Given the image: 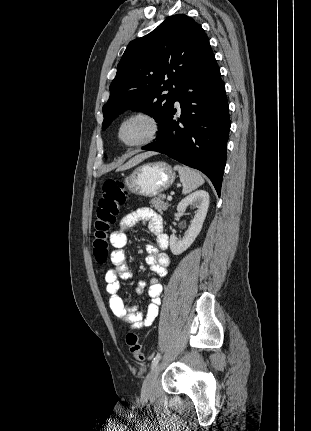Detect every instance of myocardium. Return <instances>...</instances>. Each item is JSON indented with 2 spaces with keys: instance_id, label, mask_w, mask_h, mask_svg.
<instances>
[{
  "instance_id": "myocardium-1",
  "label": "myocardium",
  "mask_w": 311,
  "mask_h": 431,
  "mask_svg": "<svg viewBox=\"0 0 311 431\" xmlns=\"http://www.w3.org/2000/svg\"><path fill=\"white\" fill-rule=\"evenodd\" d=\"M144 117L146 119H148L151 123H152V132L151 134L138 142H134V143H126L124 141H122V139L119 136V127L121 125V123L131 117ZM162 129H163V125H162V121L160 119V117L153 111L148 110V109H137L131 112H128L126 114H124L123 116H121L116 124H115V128H114V133L115 136L117 138V140L119 141L120 144H122L124 147L127 148H139V147H144L147 146L153 142H155L159 136L162 133Z\"/></svg>"
}]
</instances>
